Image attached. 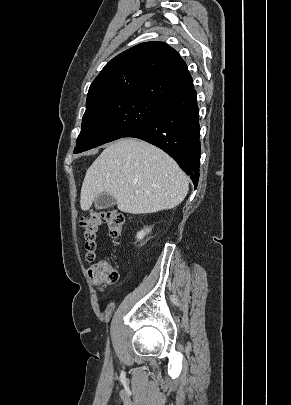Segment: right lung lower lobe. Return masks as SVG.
<instances>
[{"mask_svg":"<svg viewBox=\"0 0 291 405\" xmlns=\"http://www.w3.org/2000/svg\"><path fill=\"white\" fill-rule=\"evenodd\" d=\"M196 97L194 86L176 94L150 120L125 136L142 139L164 150L190 176L195 188L201 152Z\"/></svg>","mask_w":291,"mask_h":405,"instance_id":"obj_1","label":"right lung lower lobe"}]
</instances>
